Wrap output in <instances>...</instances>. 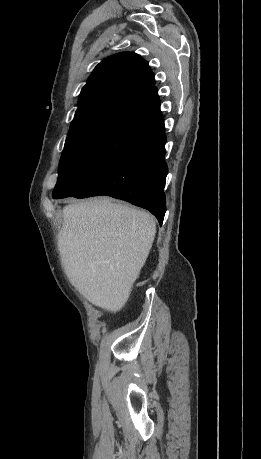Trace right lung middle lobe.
<instances>
[{
	"label": "right lung middle lobe",
	"mask_w": 261,
	"mask_h": 459,
	"mask_svg": "<svg viewBox=\"0 0 261 459\" xmlns=\"http://www.w3.org/2000/svg\"><path fill=\"white\" fill-rule=\"evenodd\" d=\"M153 129L120 123L66 139L53 198L72 196L137 146Z\"/></svg>",
	"instance_id": "dd1d6c3e"
}]
</instances>
